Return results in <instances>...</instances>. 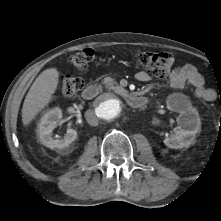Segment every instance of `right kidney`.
<instances>
[{
    "mask_svg": "<svg viewBox=\"0 0 221 221\" xmlns=\"http://www.w3.org/2000/svg\"><path fill=\"white\" fill-rule=\"evenodd\" d=\"M62 118L61 109L58 107L49 110L41 118L38 127L37 133L40 138L41 144L50 148V149H62L69 146L77 138V132L74 129L68 128L67 133L63 138L54 139L52 137V132L57 126V122Z\"/></svg>",
    "mask_w": 221,
    "mask_h": 221,
    "instance_id": "1",
    "label": "right kidney"
}]
</instances>
